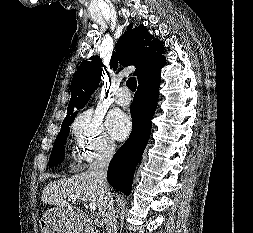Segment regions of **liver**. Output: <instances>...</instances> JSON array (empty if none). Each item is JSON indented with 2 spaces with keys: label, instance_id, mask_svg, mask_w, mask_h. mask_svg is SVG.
<instances>
[{
  "label": "liver",
  "instance_id": "liver-1",
  "mask_svg": "<svg viewBox=\"0 0 253 233\" xmlns=\"http://www.w3.org/2000/svg\"><path fill=\"white\" fill-rule=\"evenodd\" d=\"M71 195H84L86 200L99 207V185L88 171L76 174L67 179L55 180L45 186L41 200L44 203L69 206ZM68 199V201H66Z\"/></svg>",
  "mask_w": 253,
  "mask_h": 233
}]
</instances>
